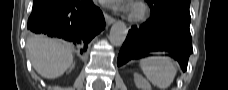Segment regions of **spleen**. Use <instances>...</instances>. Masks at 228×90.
<instances>
[{
    "label": "spleen",
    "instance_id": "3e777b00",
    "mask_svg": "<svg viewBox=\"0 0 228 90\" xmlns=\"http://www.w3.org/2000/svg\"><path fill=\"white\" fill-rule=\"evenodd\" d=\"M141 69L147 79L161 90L168 88L173 82L177 69L170 57L151 56L141 60Z\"/></svg>",
    "mask_w": 228,
    "mask_h": 90
}]
</instances>
